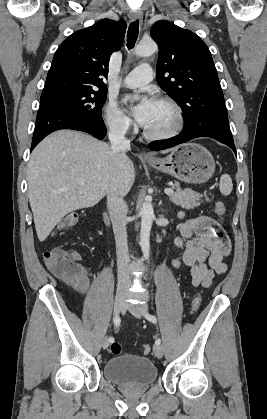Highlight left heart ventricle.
Listing matches in <instances>:
<instances>
[{
	"mask_svg": "<svg viewBox=\"0 0 267 419\" xmlns=\"http://www.w3.org/2000/svg\"><path fill=\"white\" fill-rule=\"evenodd\" d=\"M175 122L176 116L173 108L166 103L154 101L144 127L151 132H164L172 128Z\"/></svg>",
	"mask_w": 267,
	"mask_h": 419,
	"instance_id": "1",
	"label": "left heart ventricle"
}]
</instances>
